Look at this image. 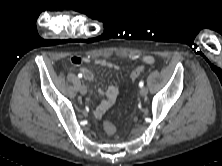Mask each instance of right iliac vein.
<instances>
[{"instance_id":"right-iliac-vein-1","label":"right iliac vein","mask_w":222,"mask_h":166,"mask_svg":"<svg viewBox=\"0 0 222 166\" xmlns=\"http://www.w3.org/2000/svg\"><path fill=\"white\" fill-rule=\"evenodd\" d=\"M79 90L82 95L87 93V87L85 85H81Z\"/></svg>"}]
</instances>
